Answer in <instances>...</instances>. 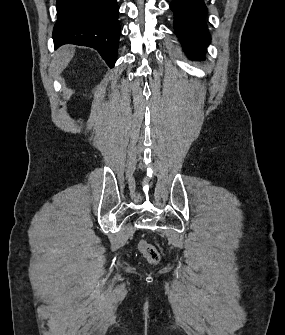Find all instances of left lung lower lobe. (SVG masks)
<instances>
[{"label":"left lung lower lobe","mask_w":285,"mask_h":335,"mask_svg":"<svg viewBox=\"0 0 285 335\" xmlns=\"http://www.w3.org/2000/svg\"><path fill=\"white\" fill-rule=\"evenodd\" d=\"M174 28L189 58L201 59L210 42L204 0H173Z\"/></svg>","instance_id":"obj_1"}]
</instances>
